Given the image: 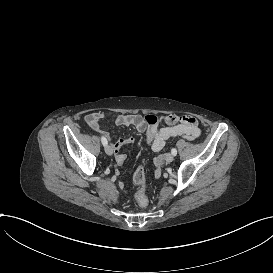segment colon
<instances>
[{
	"label": "colon",
	"instance_id": "1",
	"mask_svg": "<svg viewBox=\"0 0 273 273\" xmlns=\"http://www.w3.org/2000/svg\"><path fill=\"white\" fill-rule=\"evenodd\" d=\"M168 118H171L170 116ZM145 122L150 126V127H155L158 126L161 123V119L154 114H147L144 116ZM134 178H135V184L137 186H142L144 184V178H145V171L143 168L138 167L135 169L134 171ZM140 196V201L142 204L146 203L145 200V193L144 192H140L139 193Z\"/></svg>",
	"mask_w": 273,
	"mask_h": 273
}]
</instances>
